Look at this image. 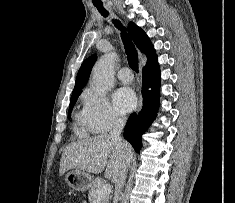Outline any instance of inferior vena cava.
Instances as JSON below:
<instances>
[{
    "mask_svg": "<svg viewBox=\"0 0 235 203\" xmlns=\"http://www.w3.org/2000/svg\"><path fill=\"white\" fill-rule=\"evenodd\" d=\"M126 123V117L116 114L113 119V127L110 132V136L112 139L118 141L119 143L126 145V142L123 141L120 137V134L125 126ZM126 170L127 166L125 165L119 175V178L115 182V197H114V203L118 202L119 195L121 194V191L123 189V186L125 184L126 180Z\"/></svg>",
    "mask_w": 235,
    "mask_h": 203,
    "instance_id": "1",
    "label": "inferior vena cava"
}]
</instances>
